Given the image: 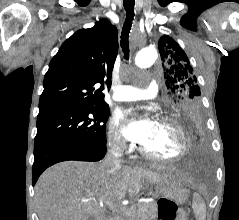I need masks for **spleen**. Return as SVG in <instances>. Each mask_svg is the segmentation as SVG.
Instances as JSON below:
<instances>
[{"label":"spleen","instance_id":"3e777b00","mask_svg":"<svg viewBox=\"0 0 239 220\" xmlns=\"http://www.w3.org/2000/svg\"><path fill=\"white\" fill-rule=\"evenodd\" d=\"M192 208L197 220H205L206 217V205L199 194L193 195Z\"/></svg>","mask_w":239,"mask_h":220}]
</instances>
